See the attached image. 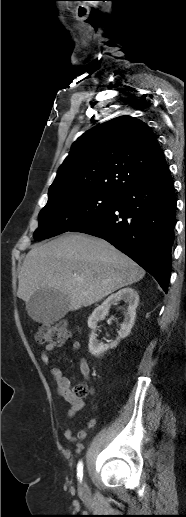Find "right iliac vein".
Instances as JSON below:
<instances>
[{
	"instance_id": "1",
	"label": "right iliac vein",
	"mask_w": 186,
	"mask_h": 517,
	"mask_svg": "<svg viewBox=\"0 0 186 517\" xmlns=\"http://www.w3.org/2000/svg\"><path fill=\"white\" fill-rule=\"evenodd\" d=\"M85 489H86V488H85V484L82 482V483L80 484V486H79V490H80V492H81V493H84V492H85Z\"/></svg>"
}]
</instances>
